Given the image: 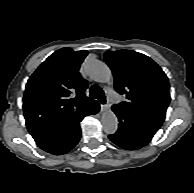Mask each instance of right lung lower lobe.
<instances>
[{"label":"right lung lower lobe","instance_id":"98d812e1","mask_svg":"<svg viewBox=\"0 0 194 193\" xmlns=\"http://www.w3.org/2000/svg\"><path fill=\"white\" fill-rule=\"evenodd\" d=\"M100 109L96 101L82 111L59 122L44 127L32 129L29 133L36 144L44 151L61 155L70 151L80 140V122L87 115L96 114Z\"/></svg>","mask_w":194,"mask_h":193}]
</instances>
